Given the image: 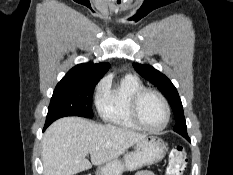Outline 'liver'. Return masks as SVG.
<instances>
[{"mask_svg": "<svg viewBox=\"0 0 233 175\" xmlns=\"http://www.w3.org/2000/svg\"><path fill=\"white\" fill-rule=\"evenodd\" d=\"M145 134L80 117L52 123L42 140L44 175H74L117 159ZM90 154L91 163L86 159Z\"/></svg>", "mask_w": 233, "mask_h": 175, "instance_id": "obj_1", "label": "liver"}]
</instances>
